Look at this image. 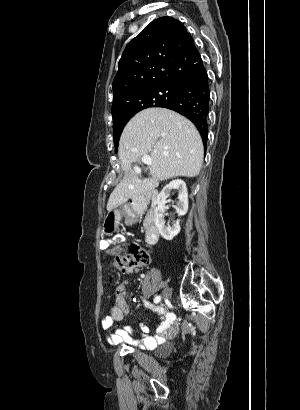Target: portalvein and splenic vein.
<instances>
[{"mask_svg": "<svg viewBox=\"0 0 300 410\" xmlns=\"http://www.w3.org/2000/svg\"><path fill=\"white\" fill-rule=\"evenodd\" d=\"M141 160H142V162H143L144 164H146V165H151V163H152V160H151V158H150L149 155H144V156L141 158ZM136 171H137V172H140V169L137 168Z\"/></svg>", "mask_w": 300, "mask_h": 410, "instance_id": "portal-vein-and-splenic-vein-1", "label": "portal vein and splenic vein"}]
</instances>
